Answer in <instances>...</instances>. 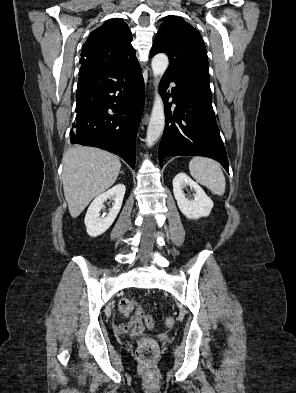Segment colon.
<instances>
[{
	"instance_id": "obj_1",
	"label": "colon",
	"mask_w": 296,
	"mask_h": 393,
	"mask_svg": "<svg viewBox=\"0 0 296 393\" xmlns=\"http://www.w3.org/2000/svg\"><path fill=\"white\" fill-rule=\"evenodd\" d=\"M119 307L124 315H129L133 311L135 303L130 299L124 298L120 301ZM137 316L143 320L148 328H153L155 326V319L152 315L138 311ZM165 325L167 327H172L174 325V320L172 318H167ZM157 354L158 345L154 340L145 338L139 342L137 356L145 366H150L157 357Z\"/></svg>"
}]
</instances>
